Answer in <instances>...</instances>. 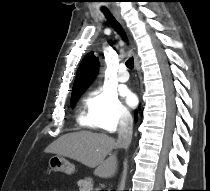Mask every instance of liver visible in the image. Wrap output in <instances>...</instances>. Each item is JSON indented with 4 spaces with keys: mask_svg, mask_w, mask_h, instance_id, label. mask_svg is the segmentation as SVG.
<instances>
[{
    "mask_svg": "<svg viewBox=\"0 0 210 191\" xmlns=\"http://www.w3.org/2000/svg\"><path fill=\"white\" fill-rule=\"evenodd\" d=\"M117 148L119 147L115 139L106 134L79 131L62 135L45 152L76 160L87 167L95 168L96 175L110 178L117 171L116 153H110ZM108 154L110 156L105 159Z\"/></svg>",
    "mask_w": 210,
    "mask_h": 191,
    "instance_id": "obj_1",
    "label": "liver"
}]
</instances>
